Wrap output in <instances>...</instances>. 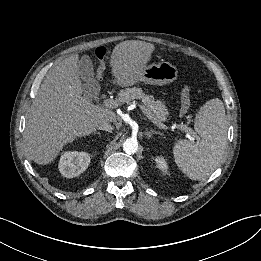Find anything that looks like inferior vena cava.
<instances>
[{
	"label": "inferior vena cava",
	"mask_w": 261,
	"mask_h": 261,
	"mask_svg": "<svg viewBox=\"0 0 261 261\" xmlns=\"http://www.w3.org/2000/svg\"><path fill=\"white\" fill-rule=\"evenodd\" d=\"M99 129L100 130H105V131H108V132H112L113 131V126L109 122H102L99 125Z\"/></svg>",
	"instance_id": "obj_1"
}]
</instances>
